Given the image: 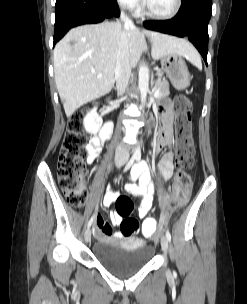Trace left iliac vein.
Instances as JSON below:
<instances>
[{"instance_id":"1","label":"left iliac vein","mask_w":247,"mask_h":304,"mask_svg":"<svg viewBox=\"0 0 247 304\" xmlns=\"http://www.w3.org/2000/svg\"><path fill=\"white\" fill-rule=\"evenodd\" d=\"M168 244H169L168 238L165 235H163L161 237V247H162V250H163L164 253H167Z\"/></svg>"}]
</instances>
